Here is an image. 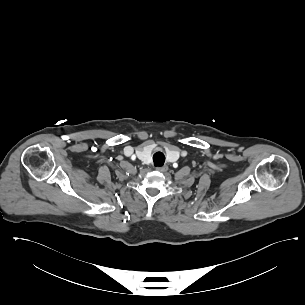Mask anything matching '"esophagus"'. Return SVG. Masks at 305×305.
I'll return each mask as SVG.
<instances>
[{
    "instance_id": "obj_1",
    "label": "esophagus",
    "mask_w": 305,
    "mask_h": 305,
    "mask_svg": "<svg viewBox=\"0 0 305 305\" xmlns=\"http://www.w3.org/2000/svg\"><path fill=\"white\" fill-rule=\"evenodd\" d=\"M167 170H168V166L167 165L156 168V171H159V172H166Z\"/></svg>"
}]
</instances>
